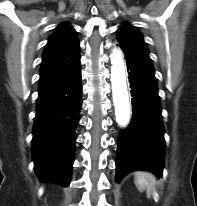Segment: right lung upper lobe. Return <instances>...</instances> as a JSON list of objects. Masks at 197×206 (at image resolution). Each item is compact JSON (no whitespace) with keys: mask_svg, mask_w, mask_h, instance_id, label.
I'll return each instance as SVG.
<instances>
[{"mask_svg":"<svg viewBox=\"0 0 197 206\" xmlns=\"http://www.w3.org/2000/svg\"><path fill=\"white\" fill-rule=\"evenodd\" d=\"M79 41L69 23L54 29L42 55L39 89L66 74L80 59Z\"/></svg>","mask_w":197,"mask_h":206,"instance_id":"1","label":"right lung upper lobe"}]
</instances>
